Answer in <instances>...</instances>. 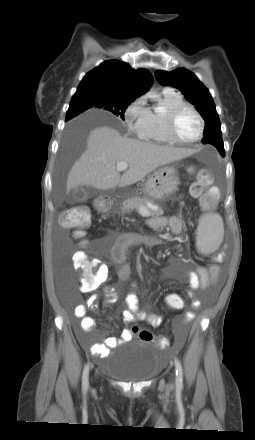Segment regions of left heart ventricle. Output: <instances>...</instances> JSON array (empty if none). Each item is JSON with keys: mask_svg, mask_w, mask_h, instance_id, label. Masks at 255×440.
<instances>
[{"mask_svg": "<svg viewBox=\"0 0 255 440\" xmlns=\"http://www.w3.org/2000/svg\"><path fill=\"white\" fill-rule=\"evenodd\" d=\"M199 128V120L193 112L186 110L179 115L176 133L180 139L185 141L194 139L199 133Z\"/></svg>", "mask_w": 255, "mask_h": 440, "instance_id": "1", "label": "left heart ventricle"}]
</instances>
